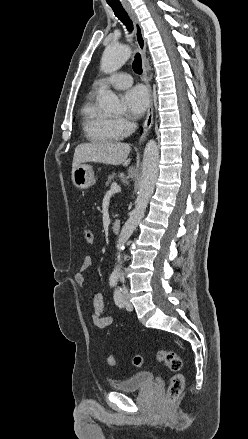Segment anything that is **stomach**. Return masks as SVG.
I'll return each mask as SVG.
<instances>
[{"label":"stomach","mask_w":248,"mask_h":439,"mask_svg":"<svg viewBox=\"0 0 248 439\" xmlns=\"http://www.w3.org/2000/svg\"><path fill=\"white\" fill-rule=\"evenodd\" d=\"M71 177L73 184L80 189H87L96 181L92 167L87 164H80L72 171Z\"/></svg>","instance_id":"stomach-1"}]
</instances>
